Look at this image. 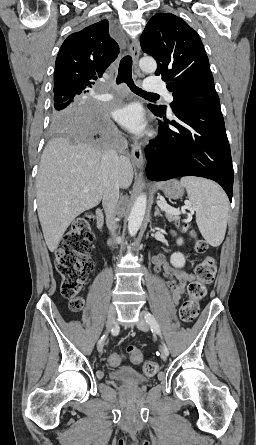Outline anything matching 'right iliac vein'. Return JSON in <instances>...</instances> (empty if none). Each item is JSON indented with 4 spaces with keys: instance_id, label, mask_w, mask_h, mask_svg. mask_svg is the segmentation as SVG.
<instances>
[{
    "instance_id": "63e3f726",
    "label": "right iliac vein",
    "mask_w": 256,
    "mask_h": 445,
    "mask_svg": "<svg viewBox=\"0 0 256 445\" xmlns=\"http://www.w3.org/2000/svg\"><path fill=\"white\" fill-rule=\"evenodd\" d=\"M115 306L111 305L108 310V316H107V323H106V330L104 335H106L112 328L114 318H115ZM104 346V340H102L100 343H98V351L99 353H102Z\"/></svg>"
}]
</instances>
